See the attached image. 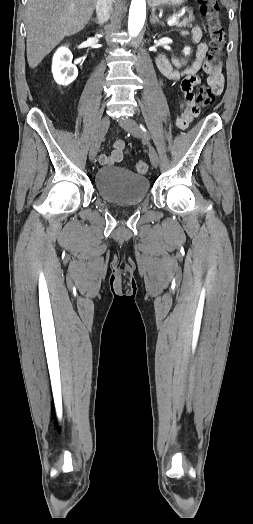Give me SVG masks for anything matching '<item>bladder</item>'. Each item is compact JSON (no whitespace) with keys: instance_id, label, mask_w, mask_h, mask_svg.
I'll list each match as a JSON object with an SVG mask.
<instances>
[{"instance_id":"bladder-1","label":"bladder","mask_w":253,"mask_h":524,"mask_svg":"<svg viewBox=\"0 0 253 524\" xmlns=\"http://www.w3.org/2000/svg\"><path fill=\"white\" fill-rule=\"evenodd\" d=\"M95 187L102 199L113 205L140 204L149 193V180L118 166L101 167L95 175Z\"/></svg>"}]
</instances>
